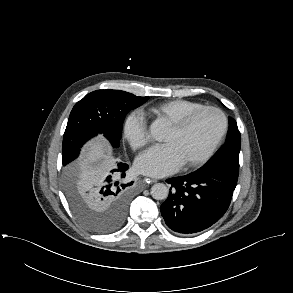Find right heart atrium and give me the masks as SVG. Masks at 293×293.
<instances>
[{"label":"right heart atrium","mask_w":293,"mask_h":293,"mask_svg":"<svg viewBox=\"0 0 293 293\" xmlns=\"http://www.w3.org/2000/svg\"><path fill=\"white\" fill-rule=\"evenodd\" d=\"M122 138L136 150L149 141V132L144 115L138 110L130 111L122 122Z\"/></svg>","instance_id":"d8ad5b80"}]
</instances>
